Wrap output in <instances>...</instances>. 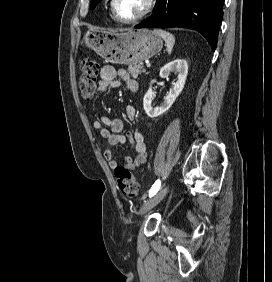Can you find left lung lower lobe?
Returning a JSON list of instances; mask_svg holds the SVG:
<instances>
[{"mask_svg": "<svg viewBox=\"0 0 272 282\" xmlns=\"http://www.w3.org/2000/svg\"><path fill=\"white\" fill-rule=\"evenodd\" d=\"M224 0H157L154 13L135 28L185 27L201 33L215 50Z\"/></svg>", "mask_w": 272, "mask_h": 282, "instance_id": "left-lung-lower-lobe-1", "label": "left lung lower lobe"}]
</instances>
